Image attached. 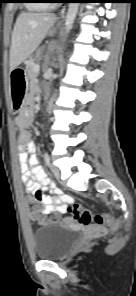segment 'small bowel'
<instances>
[{"label":"small bowel","mask_w":136,"mask_h":296,"mask_svg":"<svg viewBox=\"0 0 136 296\" xmlns=\"http://www.w3.org/2000/svg\"><path fill=\"white\" fill-rule=\"evenodd\" d=\"M29 96L30 101H26L23 110L16 117V124L21 129L18 143L22 183L27 193H32L34 196L39 195L38 198L44 205L42 213H64L68 202H70V197L61 192L40 166L35 154V143L30 139L26 131L33 120L36 110L33 91L30 92ZM31 218L36 219L32 216Z\"/></svg>","instance_id":"small-bowel-1"}]
</instances>
